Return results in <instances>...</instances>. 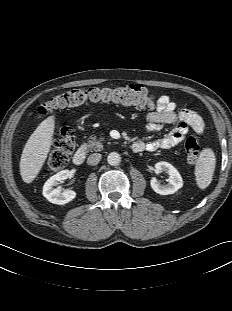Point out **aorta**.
I'll return each instance as SVG.
<instances>
[{"instance_id": "obj_1", "label": "aorta", "mask_w": 232, "mask_h": 311, "mask_svg": "<svg viewBox=\"0 0 232 311\" xmlns=\"http://www.w3.org/2000/svg\"><path fill=\"white\" fill-rule=\"evenodd\" d=\"M107 161L111 166H117L121 162V156L117 152H111L107 157Z\"/></svg>"}]
</instances>
